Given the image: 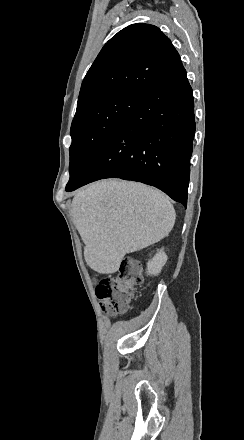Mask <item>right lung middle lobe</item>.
Here are the masks:
<instances>
[{
    "instance_id": "1",
    "label": "right lung middle lobe",
    "mask_w": 244,
    "mask_h": 440,
    "mask_svg": "<svg viewBox=\"0 0 244 440\" xmlns=\"http://www.w3.org/2000/svg\"><path fill=\"white\" fill-rule=\"evenodd\" d=\"M140 98L121 94L77 105L70 131L72 144L67 188L79 179L95 154L132 112Z\"/></svg>"
}]
</instances>
